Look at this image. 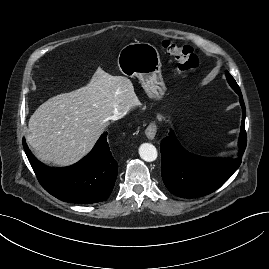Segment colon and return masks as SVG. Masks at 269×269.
Returning a JSON list of instances; mask_svg holds the SVG:
<instances>
[{
	"label": "colon",
	"instance_id": "5ec220e1",
	"mask_svg": "<svg viewBox=\"0 0 269 269\" xmlns=\"http://www.w3.org/2000/svg\"><path fill=\"white\" fill-rule=\"evenodd\" d=\"M162 47L175 58L177 61L178 70L182 74H190L198 68L199 58L194 53L191 46L178 44L167 40L162 43Z\"/></svg>",
	"mask_w": 269,
	"mask_h": 269
}]
</instances>
